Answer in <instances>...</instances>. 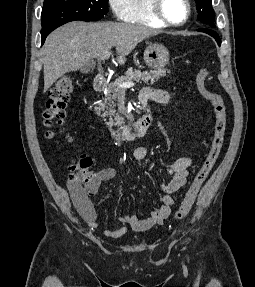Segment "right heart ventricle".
Here are the masks:
<instances>
[{
    "label": "right heart ventricle",
    "instance_id": "obj_1",
    "mask_svg": "<svg viewBox=\"0 0 255 287\" xmlns=\"http://www.w3.org/2000/svg\"><path fill=\"white\" fill-rule=\"evenodd\" d=\"M137 33H151V32H137ZM110 39H112V38H110ZM155 39H159V38H155ZM157 48H164V47H157Z\"/></svg>",
    "mask_w": 255,
    "mask_h": 287
}]
</instances>
